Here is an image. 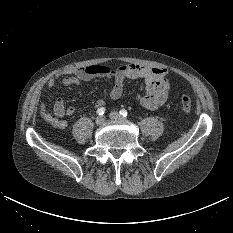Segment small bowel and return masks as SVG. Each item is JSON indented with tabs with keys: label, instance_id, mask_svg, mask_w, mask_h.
I'll return each instance as SVG.
<instances>
[{
	"label": "small bowel",
	"instance_id": "small-bowel-1",
	"mask_svg": "<svg viewBox=\"0 0 233 233\" xmlns=\"http://www.w3.org/2000/svg\"><path fill=\"white\" fill-rule=\"evenodd\" d=\"M95 78H107L112 82L109 91L111 99H119L124 91L126 80L141 81L144 93L136 96L139 103L148 110L161 107L171 91V82L167 70L162 67H144L134 64H124L117 68L108 65L93 64L78 67L56 74L49 80V87L81 86L83 82ZM106 101L102 98L95 102L97 108H104ZM74 113L73 107H66L63 98H57L50 109L43 101L40 103V116L52 127L65 129L68 126L63 118Z\"/></svg>",
	"mask_w": 233,
	"mask_h": 233
}]
</instances>
